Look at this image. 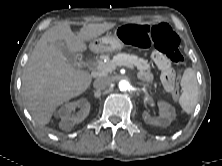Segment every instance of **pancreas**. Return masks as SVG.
Instances as JSON below:
<instances>
[{"label": "pancreas", "mask_w": 222, "mask_h": 166, "mask_svg": "<svg viewBox=\"0 0 222 166\" xmlns=\"http://www.w3.org/2000/svg\"><path fill=\"white\" fill-rule=\"evenodd\" d=\"M128 63L132 66H135L139 71L141 72H150L151 70V66L148 63L147 60L143 59V58H139L136 55H130V54H126V53H119L117 55H115L113 57L112 60H107V62H102L100 65L103 66L104 69L112 67V66H118L119 63ZM111 72V70L105 71L104 73H108ZM154 86L156 87V83L154 84Z\"/></svg>", "instance_id": "obj_1"}]
</instances>
